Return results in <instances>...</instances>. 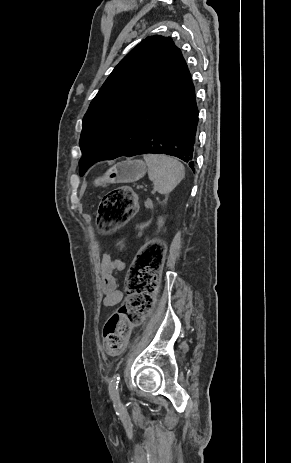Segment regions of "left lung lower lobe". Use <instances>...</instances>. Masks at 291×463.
Wrapping results in <instances>:
<instances>
[{
  "label": "left lung lower lobe",
  "instance_id": "1",
  "mask_svg": "<svg viewBox=\"0 0 291 463\" xmlns=\"http://www.w3.org/2000/svg\"><path fill=\"white\" fill-rule=\"evenodd\" d=\"M198 113L195 88L191 82L142 139L121 156L166 154L180 158L194 170Z\"/></svg>",
  "mask_w": 291,
  "mask_h": 463
}]
</instances>
